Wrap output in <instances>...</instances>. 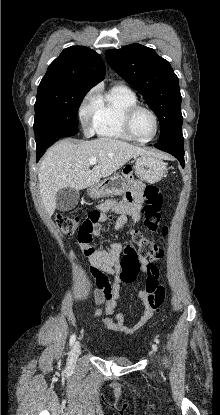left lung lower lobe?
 <instances>
[{"label": "left lung lower lobe", "mask_w": 220, "mask_h": 415, "mask_svg": "<svg viewBox=\"0 0 220 415\" xmlns=\"http://www.w3.org/2000/svg\"><path fill=\"white\" fill-rule=\"evenodd\" d=\"M183 142L184 140H176L172 142L162 143L160 145L155 146L156 148L168 152L174 157H176L182 167H184V148H183Z\"/></svg>", "instance_id": "0a47b994"}]
</instances>
